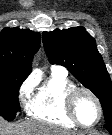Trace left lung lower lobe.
Wrapping results in <instances>:
<instances>
[{
  "mask_svg": "<svg viewBox=\"0 0 112 135\" xmlns=\"http://www.w3.org/2000/svg\"><path fill=\"white\" fill-rule=\"evenodd\" d=\"M104 128H106L112 134V123L105 124Z\"/></svg>",
  "mask_w": 112,
  "mask_h": 135,
  "instance_id": "obj_1",
  "label": "left lung lower lobe"
}]
</instances>
